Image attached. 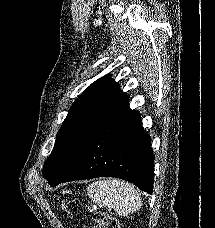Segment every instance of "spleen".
<instances>
[{
	"label": "spleen",
	"instance_id": "1",
	"mask_svg": "<svg viewBox=\"0 0 215 228\" xmlns=\"http://www.w3.org/2000/svg\"><path fill=\"white\" fill-rule=\"evenodd\" d=\"M88 196L98 206H111L117 216H130L140 210L142 200L132 184L116 178L99 180L88 186Z\"/></svg>",
	"mask_w": 215,
	"mask_h": 228
}]
</instances>
